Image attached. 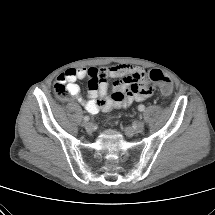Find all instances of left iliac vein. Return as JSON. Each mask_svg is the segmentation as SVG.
<instances>
[{
  "mask_svg": "<svg viewBox=\"0 0 215 215\" xmlns=\"http://www.w3.org/2000/svg\"><path fill=\"white\" fill-rule=\"evenodd\" d=\"M144 129V122L139 121L133 128H127L126 132L130 135L139 133Z\"/></svg>",
  "mask_w": 215,
  "mask_h": 215,
  "instance_id": "1",
  "label": "left iliac vein"
}]
</instances>
